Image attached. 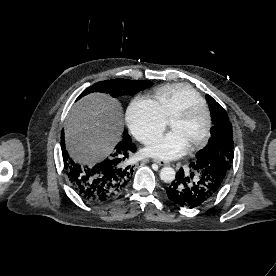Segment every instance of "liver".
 Here are the masks:
<instances>
[{"mask_svg":"<svg viewBox=\"0 0 276 276\" xmlns=\"http://www.w3.org/2000/svg\"><path fill=\"white\" fill-rule=\"evenodd\" d=\"M122 109L117 100L90 94L74 104L65 122V142L78 163L92 165L110 154L120 141Z\"/></svg>","mask_w":276,"mask_h":276,"instance_id":"obj_1","label":"liver"}]
</instances>
